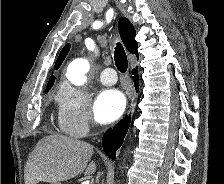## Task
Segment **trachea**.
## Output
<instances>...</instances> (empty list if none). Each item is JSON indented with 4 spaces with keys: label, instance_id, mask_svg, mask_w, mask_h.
I'll return each instance as SVG.
<instances>
[{
    "label": "trachea",
    "instance_id": "trachea-1",
    "mask_svg": "<svg viewBox=\"0 0 224 184\" xmlns=\"http://www.w3.org/2000/svg\"><path fill=\"white\" fill-rule=\"evenodd\" d=\"M115 65L121 73H125L128 67L126 52L123 46L118 43L114 51Z\"/></svg>",
    "mask_w": 224,
    "mask_h": 184
}]
</instances>
